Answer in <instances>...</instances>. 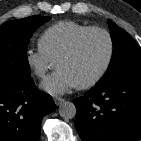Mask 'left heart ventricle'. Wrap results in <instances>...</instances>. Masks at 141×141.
Masks as SVG:
<instances>
[{
    "instance_id": "obj_1",
    "label": "left heart ventricle",
    "mask_w": 141,
    "mask_h": 141,
    "mask_svg": "<svg viewBox=\"0 0 141 141\" xmlns=\"http://www.w3.org/2000/svg\"><path fill=\"white\" fill-rule=\"evenodd\" d=\"M108 49V41L104 34L91 33L83 40L78 50L72 56L58 62L57 67L68 71L77 84L85 82L101 69Z\"/></svg>"
}]
</instances>
